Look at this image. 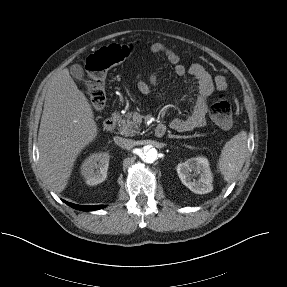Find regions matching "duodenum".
I'll list each match as a JSON object with an SVG mask.
<instances>
[{
  "label": "duodenum",
  "mask_w": 287,
  "mask_h": 287,
  "mask_svg": "<svg viewBox=\"0 0 287 287\" xmlns=\"http://www.w3.org/2000/svg\"><path fill=\"white\" fill-rule=\"evenodd\" d=\"M116 119L114 116H110L105 119L103 127L106 131L111 132L115 129ZM166 132V127L163 124H158L155 128V135L157 137H162Z\"/></svg>",
  "instance_id": "obj_1"
}]
</instances>
